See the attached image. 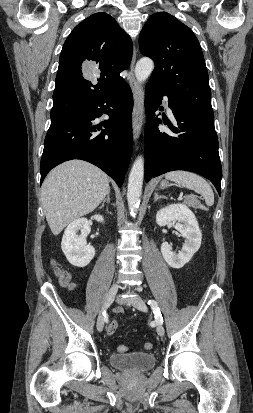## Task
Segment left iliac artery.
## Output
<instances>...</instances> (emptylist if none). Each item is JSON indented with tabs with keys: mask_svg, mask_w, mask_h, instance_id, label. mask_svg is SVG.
<instances>
[{
	"mask_svg": "<svg viewBox=\"0 0 253 413\" xmlns=\"http://www.w3.org/2000/svg\"><path fill=\"white\" fill-rule=\"evenodd\" d=\"M147 303L150 305L151 309L153 310L154 314H155V318L157 319V321L159 322H163V317L161 315L160 309L157 305V302L155 300H148Z\"/></svg>",
	"mask_w": 253,
	"mask_h": 413,
	"instance_id": "obj_1",
	"label": "left iliac artery"
}]
</instances>
